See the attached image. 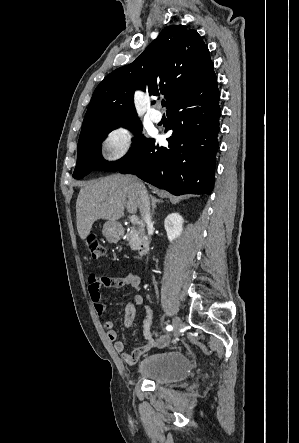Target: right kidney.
<instances>
[{
  "instance_id": "obj_1",
  "label": "right kidney",
  "mask_w": 299,
  "mask_h": 443,
  "mask_svg": "<svg viewBox=\"0 0 299 443\" xmlns=\"http://www.w3.org/2000/svg\"><path fill=\"white\" fill-rule=\"evenodd\" d=\"M183 218L178 213L169 214L165 221L164 227L167 232L169 242H173L176 238H178L182 233L183 226Z\"/></svg>"
}]
</instances>
